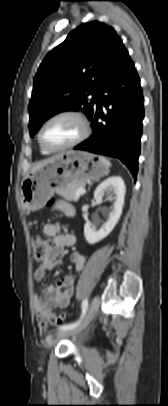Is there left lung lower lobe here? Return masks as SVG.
<instances>
[{
	"instance_id": "0a47b994",
	"label": "left lung lower lobe",
	"mask_w": 168,
	"mask_h": 406,
	"mask_svg": "<svg viewBox=\"0 0 168 406\" xmlns=\"http://www.w3.org/2000/svg\"><path fill=\"white\" fill-rule=\"evenodd\" d=\"M102 105L107 110L106 115ZM143 118L140 80L133 61L124 49L99 88L95 111L90 119L93 134L75 150L116 157L136 178Z\"/></svg>"
}]
</instances>
